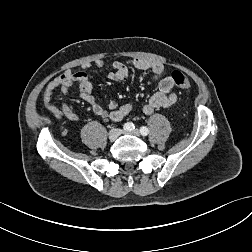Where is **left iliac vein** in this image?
I'll use <instances>...</instances> for the list:
<instances>
[{"instance_id":"4c4485c4","label":"left iliac vein","mask_w":252,"mask_h":252,"mask_svg":"<svg viewBox=\"0 0 252 252\" xmlns=\"http://www.w3.org/2000/svg\"><path fill=\"white\" fill-rule=\"evenodd\" d=\"M131 134L135 135V136H139L140 132L138 129H135L131 132Z\"/></svg>"}]
</instances>
